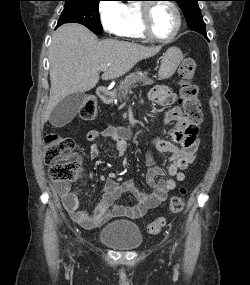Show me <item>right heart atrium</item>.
Wrapping results in <instances>:
<instances>
[{
    "instance_id": "d8ad5b80",
    "label": "right heart atrium",
    "mask_w": 250,
    "mask_h": 285,
    "mask_svg": "<svg viewBox=\"0 0 250 285\" xmlns=\"http://www.w3.org/2000/svg\"><path fill=\"white\" fill-rule=\"evenodd\" d=\"M99 16L104 30L120 35L126 25L127 6L121 0H104L99 5Z\"/></svg>"
}]
</instances>
